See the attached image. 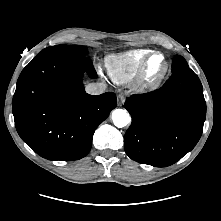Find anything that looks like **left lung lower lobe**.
Returning <instances> with one entry per match:
<instances>
[{
  "mask_svg": "<svg viewBox=\"0 0 221 221\" xmlns=\"http://www.w3.org/2000/svg\"><path fill=\"white\" fill-rule=\"evenodd\" d=\"M124 107L132 116L125 152L155 167L172 165L191 151L206 118L202 84L190 68L172 73L154 92L128 97Z\"/></svg>",
  "mask_w": 221,
  "mask_h": 221,
  "instance_id": "left-lung-lower-lobe-1",
  "label": "left lung lower lobe"
}]
</instances>
